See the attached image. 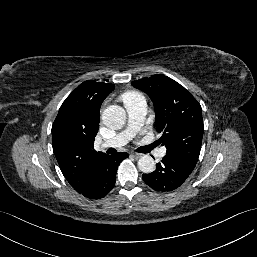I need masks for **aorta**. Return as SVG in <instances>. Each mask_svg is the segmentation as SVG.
I'll return each mask as SVG.
<instances>
[{"label": "aorta", "mask_w": 257, "mask_h": 257, "mask_svg": "<svg viewBox=\"0 0 257 257\" xmlns=\"http://www.w3.org/2000/svg\"><path fill=\"white\" fill-rule=\"evenodd\" d=\"M102 121L110 129H121L126 122V112L118 105H111L103 111ZM138 168L143 173H151L155 170V161L151 156L144 155L138 160Z\"/></svg>", "instance_id": "aorta-1"}]
</instances>
